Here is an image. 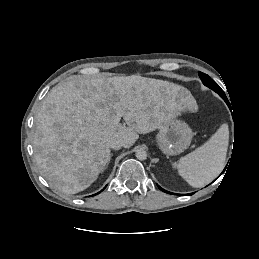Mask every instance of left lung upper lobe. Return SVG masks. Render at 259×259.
Instances as JSON below:
<instances>
[{"label":"left lung upper lobe","instance_id":"1","mask_svg":"<svg viewBox=\"0 0 259 259\" xmlns=\"http://www.w3.org/2000/svg\"><path fill=\"white\" fill-rule=\"evenodd\" d=\"M199 77L202 80L203 84L217 93L222 92L223 90L218 86V84L213 81L207 74L199 72Z\"/></svg>","mask_w":259,"mask_h":259}]
</instances>
